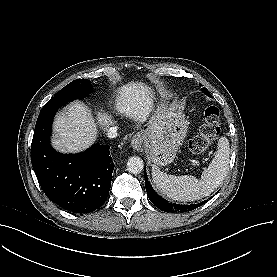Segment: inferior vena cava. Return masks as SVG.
I'll use <instances>...</instances> for the list:
<instances>
[{"mask_svg":"<svg viewBox=\"0 0 277 277\" xmlns=\"http://www.w3.org/2000/svg\"><path fill=\"white\" fill-rule=\"evenodd\" d=\"M117 130L118 129H117L116 126L110 127L109 130H108V133H107L108 138L117 137L118 136Z\"/></svg>","mask_w":277,"mask_h":277,"instance_id":"obj_1","label":"inferior vena cava"}]
</instances>
